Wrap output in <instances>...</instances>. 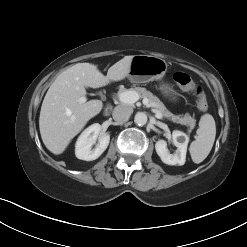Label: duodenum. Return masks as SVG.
Masks as SVG:
<instances>
[{
	"instance_id": "410a0bca",
	"label": "duodenum",
	"mask_w": 247,
	"mask_h": 247,
	"mask_svg": "<svg viewBox=\"0 0 247 247\" xmlns=\"http://www.w3.org/2000/svg\"><path fill=\"white\" fill-rule=\"evenodd\" d=\"M106 113H109L111 111V105L107 104L105 108Z\"/></svg>"
}]
</instances>
